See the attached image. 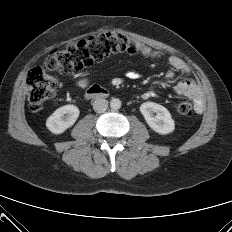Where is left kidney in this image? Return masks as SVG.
<instances>
[{"label":"left kidney","mask_w":232,"mask_h":232,"mask_svg":"<svg viewBox=\"0 0 232 232\" xmlns=\"http://www.w3.org/2000/svg\"><path fill=\"white\" fill-rule=\"evenodd\" d=\"M140 112L155 132L165 135L174 131V120L164 106L154 102H145L140 106Z\"/></svg>","instance_id":"1"}]
</instances>
